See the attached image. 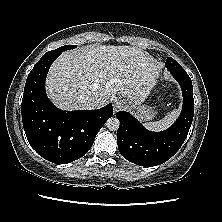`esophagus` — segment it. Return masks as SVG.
Masks as SVG:
<instances>
[{"mask_svg":"<svg viewBox=\"0 0 222 222\" xmlns=\"http://www.w3.org/2000/svg\"><path fill=\"white\" fill-rule=\"evenodd\" d=\"M126 106V102L122 99H115L113 102L114 112H118Z\"/></svg>","mask_w":222,"mask_h":222,"instance_id":"obj_1","label":"esophagus"}]
</instances>
